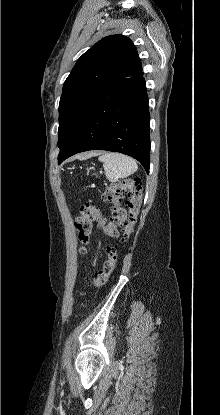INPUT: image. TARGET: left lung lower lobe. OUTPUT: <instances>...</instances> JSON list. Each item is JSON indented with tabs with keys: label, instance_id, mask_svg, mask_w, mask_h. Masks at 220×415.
<instances>
[{
	"label": "left lung lower lobe",
	"instance_id": "0a47b994",
	"mask_svg": "<svg viewBox=\"0 0 220 415\" xmlns=\"http://www.w3.org/2000/svg\"><path fill=\"white\" fill-rule=\"evenodd\" d=\"M150 114L143 72L114 80L92 106L62 160L83 151L120 152L150 167Z\"/></svg>",
	"mask_w": 220,
	"mask_h": 415
}]
</instances>
